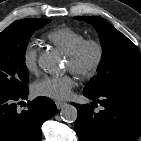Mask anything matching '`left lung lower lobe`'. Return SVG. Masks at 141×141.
Listing matches in <instances>:
<instances>
[{
	"label": "left lung lower lobe",
	"instance_id": "1",
	"mask_svg": "<svg viewBox=\"0 0 141 141\" xmlns=\"http://www.w3.org/2000/svg\"><path fill=\"white\" fill-rule=\"evenodd\" d=\"M83 94L100 103L95 113L90 105H73L78 117L75 131L80 141H136L141 135V90L113 88L100 94ZM93 105V103H92Z\"/></svg>",
	"mask_w": 141,
	"mask_h": 141
}]
</instances>
